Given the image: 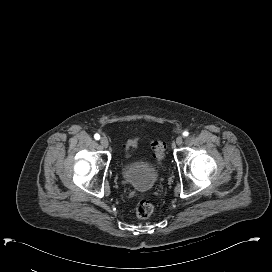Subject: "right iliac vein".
<instances>
[{
	"label": "right iliac vein",
	"instance_id": "right-iliac-vein-1",
	"mask_svg": "<svg viewBox=\"0 0 272 272\" xmlns=\"http://www.w3.org/2000/svg\"><path fill=\"white\" fill-rule=\"evenodd\" d=\"M100 145H101L102 147H104V148H107L108 145H109L108 139H107L106 137H102V138L100 139Z\"/></svg>",
	"mask_w": 272,
	"mask_h": 272
}]
</instances>
